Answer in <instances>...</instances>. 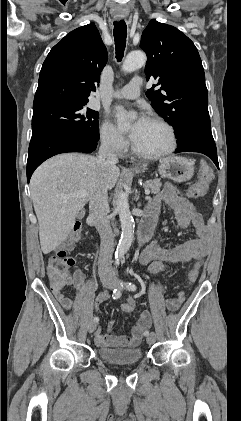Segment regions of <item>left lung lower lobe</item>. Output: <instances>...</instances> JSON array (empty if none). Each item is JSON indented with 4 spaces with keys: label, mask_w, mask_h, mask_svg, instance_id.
Instances as JSON below:
<instances>
[{
    "label": "left lung lower lobe",
    "mask_w": 241,
    "mask_h": 421,
    "mask_svg": "<svg viewBox=\"0 0 241 421\" xmlns=\"http://www.w3.org/2000/svg\"><path fill=\"white\" fill-rule=\"evenodd\" d=\"M179 152H199L207 155L219 168L216 145L211 132V124L198 127L187 139L178 143Z\"/></svg>",
    "instance_id": "1"
}]
</instances>
